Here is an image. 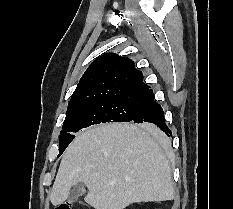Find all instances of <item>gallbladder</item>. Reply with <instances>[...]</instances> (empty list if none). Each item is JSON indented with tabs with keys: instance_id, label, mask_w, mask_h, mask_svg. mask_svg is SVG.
<instances>
[{
	"instance_id": "obj_1",
	"label": "gallbladder",
	"mask_w": 233,
	"mask_h": 209,
	"mask_svg": "<svg viewBox=\"0 0 233 209\" xmlns=\"http://www.w3.org/2000/svg\"><path fill=\"white\" fill-rule=\"evenodd\" d=\"M85 194V187L84 184L78 183L72 187V189L69 192L68 196V202L74 203L77 201V199Z\"/></svg>"
}]
</instances>
